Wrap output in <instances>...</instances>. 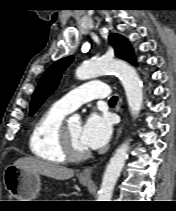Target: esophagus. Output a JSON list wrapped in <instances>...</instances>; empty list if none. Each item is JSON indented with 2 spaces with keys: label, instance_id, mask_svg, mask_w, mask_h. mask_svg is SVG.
<instances>
[{
  "label": "esophagus",
  "instance_id": "obj_1",
  "mask_svg": "<svg viewBox=\"0 0 176 211\" xmlns=\"http://www.w3.org/2000/svg\"><path fill=\"white\" fill-rule=\"evenodd\" d=\"M120 104H121V99H120ZM122 126H123V123L120 124L118 130H117V136H116V140H115V143L117 142L121 132H122ZM94 167H87L85 169H83L80 174H79V177L80 179L82 180H90L91 179V174H92V170H93Z\"/></svg>",
  "mask_w": 176,
  "mask_h": 211
}]
</instances>
